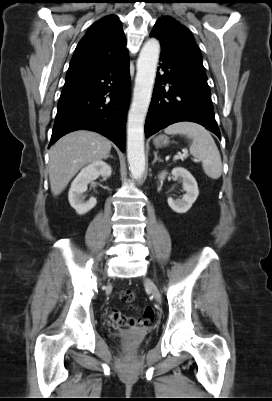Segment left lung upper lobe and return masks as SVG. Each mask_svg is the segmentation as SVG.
<instances>
[{
    "instance_id": "5c2ea615",
    "label": "left lung upper lobe",
    "mask_w": 272,
    "mask_h": 401,
    "mask_svg": "<svg viewBox=\"0 0 272 401\" xmlns=\"http://www.w3.org/2000/svg\"><path fill=\"white\" fill-rule=\"evenodd\" d=\"M150 35L160 40L161 50L203 67L200 50L190 30L174 18H159Z\"/></svg>"
}]
</instances>
